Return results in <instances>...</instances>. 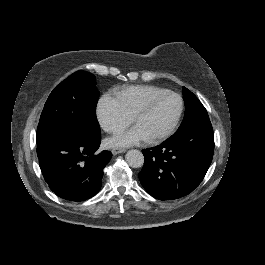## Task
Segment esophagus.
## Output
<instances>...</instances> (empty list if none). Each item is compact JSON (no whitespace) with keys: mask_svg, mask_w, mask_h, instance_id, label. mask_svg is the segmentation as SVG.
Instances as JSON below:
<instances>
[{"mask_svg":"<svg viewBox=\"0 0 265 265\" xmlns=\"http://www.w3.org/2000/svg\"><path fill=\"white\" fill-rule=\"evenodd\" d=\"M126 152V149L120 148V147H115L112 149L113 155L120 154Z\"/></svg>","mask_w":265,"mask_h":265,"instance_id":"1","label":"esophagus"}]
</instances>
